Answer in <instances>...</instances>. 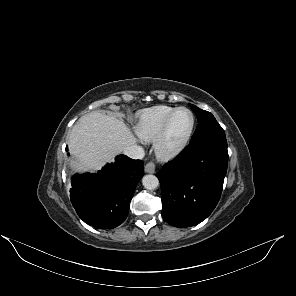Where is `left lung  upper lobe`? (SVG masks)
<instances>
[{"label":"left lung upper lobe","instance_id":"1","mask_svg":"<svg viewBox=\"0 0 296 296\" xmlns=\"http://www.w3.org/2000/svg\"><path fill=\"white\" fill-rule=\"evenodd\" d=\"M189 106L196 113L198 120V127L189 145L198 144L210 139L226 137L224 130L210 112L202 110L192 104H189Z\"/></svg>","mask_w":296,"mask_h":296}]
</instances>
